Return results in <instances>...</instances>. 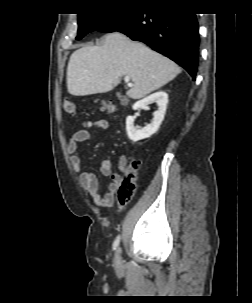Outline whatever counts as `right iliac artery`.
<instances>
[{"mask_svg":"<svg viewBox=\"0 0 252 303\" xmlns=\"http://www.w3.org/2000/svg\"><path fill=\"white\" fill-rule=\"evenodd\" d=\"M119 242H120V235H118L113 242V250H115L117 248V246L119 245Z\"/></svg>","mask_w":252,"mask_h":303,"instance_id":"right-iliac-artery-1","label":"right iliac artery"}]
</instances>
